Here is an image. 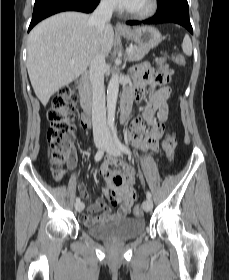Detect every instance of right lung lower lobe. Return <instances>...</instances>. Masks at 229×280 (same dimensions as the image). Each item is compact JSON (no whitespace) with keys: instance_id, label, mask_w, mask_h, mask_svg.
Instances as JSON below:
<instances>
[{"instance_id":"1","label":"right lung lower lobe","mask_w":229,"mask_h":280,"mask_svg":"<svg viewBox=\"0 0 229 280\" xmlns=\"http://www.w3.org/2000/svg\"><path fill=\"white\" fill-rule=\"evenodd\" d=\"M99 1L100 0H36L28 31L41 20L62 11L90 13L96 8Z\"/></svg>"}]
</instances>
